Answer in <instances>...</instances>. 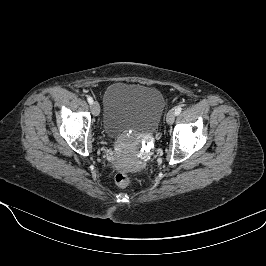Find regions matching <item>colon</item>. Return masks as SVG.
<instances>
[{
	"instance_id": "1",
	"label": "colon",
	"mask_w": 266,
	"mask_h": 266,
	"mask_svg": "<svg viewBox=\"0 0 266 266\" xmlns=\"http://www.w3.org/2000/svg\"><path fill=\"white\" fill-rule=\"evenodd\" d=\"M115 182L118 186L125 188L131 185L132 179L127 173L119 171L115 174Z\"/></svg>"
}]
</instances>
